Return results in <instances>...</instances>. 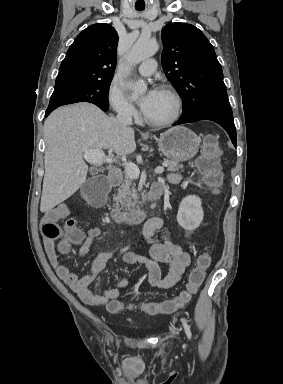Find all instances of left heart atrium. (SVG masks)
<instances>
[{"label":"left heart atrium","mask_w":283,"mask_h":384,"mask_svg":"<svg viewBox=\"0 0 283 384\" xmlns=\"http://www.w3.org/2000/svg\"><path fill=\"white\" fill-rule=\"evenodd\" d=\"M158 89L152 88L146 91V93L139 100V106L142 112H147L152 102L158 94Z\"/></svg>","instance_id":"left-heart-atrium-1"}]
</instances>
